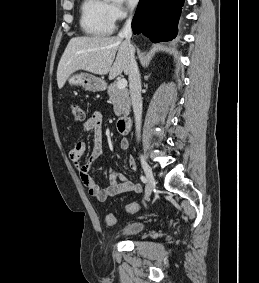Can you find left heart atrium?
Listing matches in <instances>:
<instances>
[{"mask_svg": "<svg viewBox=\"0 0 259 283\" xmlns=\"http://www.w3.org/2000/svg\"><path fill=\"white\" fill-rule=\"evenodd\" d=\"M129 4L135 5L138 3L139 0H127Z\"/></svg>", "mask_w": 259, "mask_h": 283, "instance_id": "obj_1", "label": "left heart atrium"}]
</instances>
